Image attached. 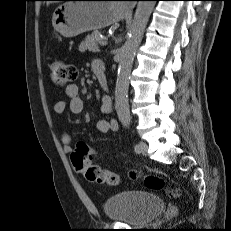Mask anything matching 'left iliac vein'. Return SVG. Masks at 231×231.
I'll list each match as a JSON object with an SVG mask.
<instances>
[{
	"instance_id": "obj_1",
	"label": "left iliac vein",
	"mask_w": 231,
	"mask_h": 231,
	"mask_svg": "<svg viewBox=\"0 0 231 231\" xmlns=\"http://www.w3.org/2000/svg\"><path fill=\"white\" fill-rule=\"evenodd\" d=\"M147 151H148V145L145 142L141 141L139 143V152L138 153H141V154L146 156Z\"/></svg>"
}]
</instances>
